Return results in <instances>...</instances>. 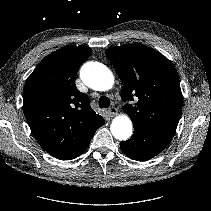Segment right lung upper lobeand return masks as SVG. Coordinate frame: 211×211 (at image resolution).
I'll use <instances>...</instances> for the list:
<instances>
[{
	"label": "right lung upper lobe",
	"instance_id": "obj_1",
	"mask_svg": "<svg viewBox=\"0 0 211 211\" xmlns=\"http://www.w3.org/2000/svg\"><path fill=\"white\" fill-rule=\"evenodd\" d=\"M91 52L88 47L68 46L51 53L24 86L23 110L29 127L41 147L56 158L75 149L104 124L74 81Z\"/></svg>",
	"mask_w": 211,
	"mask_h": 211
}]
</instances>
